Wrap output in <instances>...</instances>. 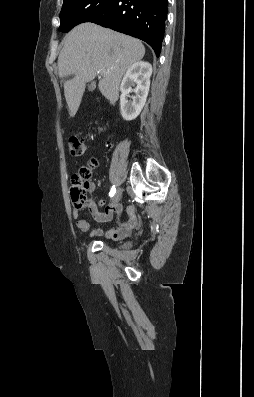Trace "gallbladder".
I'll return each instance as SVG.
<instances>
[{
    "instance_id": "1",
    "label": "gallbladder",
    "mask_w": 254,
    "mask_h": 397,
    "mask_svg": "<svg viewBox=\"0 0 254 397\" xmlns=\"http://www.w3.org/2000/svg\"><path fill=\"white\" fill-rule=\"evenodd\" d=\"M96 85L95 83H91L88 87L89 91H93L95 89Z\"/></svg>"
}]
</instances>
